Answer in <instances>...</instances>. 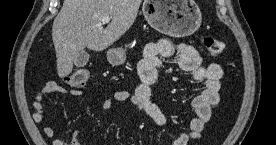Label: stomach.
Listing matches in <instances>:
<instances>
[{"label": "stomach", "instance_id": "obj_1", "mask_svg": "<svg viewBox=\"0 0 276 145\" xmlns=\"http://www.w3.org/2000/svg\"><path fill=\"white\" fill-rule=\"evenodd\" d=\"M142 11L149 25L170 37H185L197 31L202 14L194 0H145ZM112 65L125 62L123 48H112L107 52Z\"/></svg>", "mask_w": 276, "mask_h": 145}]
</instances>
